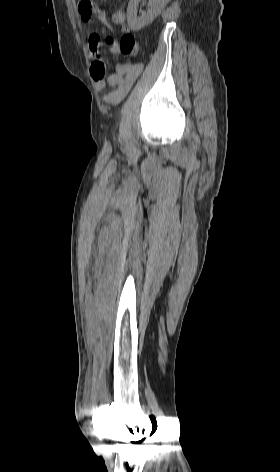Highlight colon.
Segmentation results:
<instances>
[{"instance_id": "colon-1", "label": "colon", "mask_w": 280, "mask_h": 472, "mask_svg": "<svg viewBox=\"0 0 280 472\" xmlns=\"http://www.w3.org/2000/svg\"><path fill=\"white\" fill-rule=\"evenodd\" d=\"M88 6L91 4L88 2ZM120 53L126 58H133L137 54V43L131 33H125L119 42Z\"/></svg>"}]
</instances>
